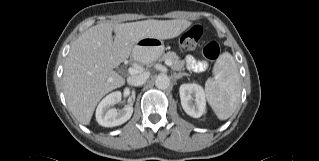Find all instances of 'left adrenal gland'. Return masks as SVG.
Returning a JSON list of instances; mask_svg holds the SVG:
<instances>
[{
	"label": "left adrenal gland",
	"mask_w": 319,
	"mask_h": 161,
	"mask_svg": "<svg viewBox=\"0 0 319 161\" xmlns=\"http://www.w3.org/2000/svg\"><path fill=\"white\" fill-rule=\"evenodd\" d=\"M189 74H187V73H174V78L175 79H180V78H182L183 76H188Z\"/></svg>",
	"instance_id": "1"
}]
</instances>
